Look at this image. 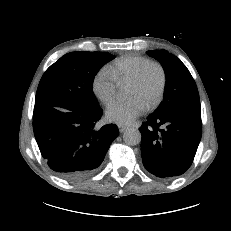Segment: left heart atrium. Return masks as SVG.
<instances>
[{"mask_svg":"<svg viewBox=\"0 0 231 231\" xmlns=\"http://www.w3.org/2000/svg\"><path fill=\"white\" fill-rule=\"evenodd\" d=\"M146 106L137 98L126 102H114L109 105L106 117L110 122L126 125L132 123L138 116L142 115Z\"/></svg>","mask_w":231,"mask_h":231,"instance_id":"39dd6f15","label":"left heart atrium"}]
</instances>
